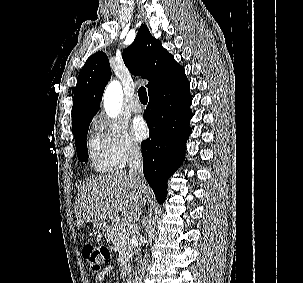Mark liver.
I'll return each mask as SVG.
<instances>
[{
    "label": "liver",
    "mask_w": 303,
    "mask_h": 283,
    "mask_svg": "<svg viewBox=\"0 0 303 283\" xmlns=\"http://www.w3.org/2000/svg\"><path fill=\"white\" fill-rule=\"evenodd\" d=\"M151 191L143 178L116 171L90 178L78 191L75 202L76 226L84 222L113 221L119 212L126 223L136 222Z\"/></svg>",
    "instance_id": "6515ba94"
}]
</instances>
